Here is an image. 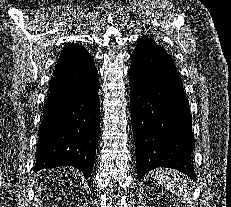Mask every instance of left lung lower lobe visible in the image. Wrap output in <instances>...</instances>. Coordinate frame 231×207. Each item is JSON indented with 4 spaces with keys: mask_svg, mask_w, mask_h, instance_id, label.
Listing matches in <instances>:
<instances>
[{
    "mask_svg": "<svg viewBox=\"0 0 231 207\" xmlns=\"http://www.w3.org/2000/svg\"><path fill=\"white\" fill-rule=\"evenodd\" d=\"M131 116L137 178L158 167L196 179L189 101L170 55L151 38H139L131 55Z\"/></svg>",
    "mask_w": 231,
    "mask_h": 207,
    "instance_id": "obj_1",
    "label": "left lung lower lobe"
}]
</instances>
